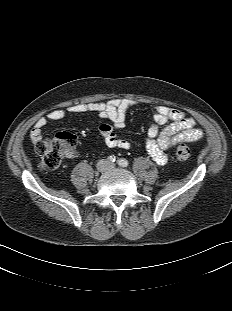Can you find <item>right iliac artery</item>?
<instances>
[{"label":"right iliac artery","instance_id":"82829eb1","mask_svg":"<svg viewBox=\"0 0 232 311\" xmlns=\"http://www.w3.org/2000/svg\"><path fill=\"white\" fill-rule=\"evenodd\" d=\"M110 162H115L116 161V157L114 155H111L109 158Z\"/></svg>","mask_w":232,"mask_h":311}]
</instances>
